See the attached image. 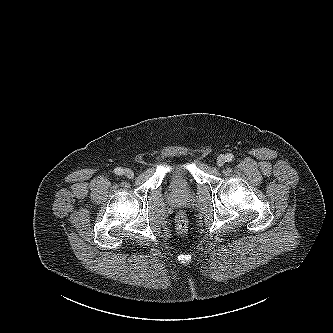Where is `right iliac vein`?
I'll return each instance as SVG.
<instances>
[{
	"label": "right iliac vein",
	"mask_w": 333,
	"mask_h": 333,
	"mask_svg": "<svg viewBox=\"0 0 333 333\" xmlns=\"http://www.w3.org/2000/svg\"><path fill=\"white\" fill-rule=\"evenodd\" d=\"M124 174L129 179H132L134 177V172L131 169H125Z\"/></svg>",
	"instance_id": "right-iliac-vein-1"
}]
</instances>
